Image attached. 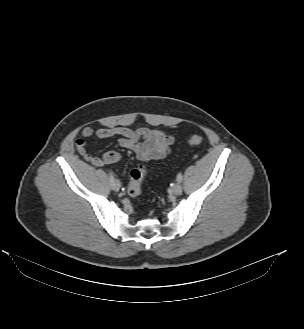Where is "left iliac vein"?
<instances>
[{
    "label": "left iliac vein",
    "instance_id": "1",
    "mask_svg": "<svg viewBox=\"0 0 304 329\" xmlns=\"http://www.w3.org/2000/svg\"><path fill=\"white\" fill-rule=\"evenodd\" d=\"M172 192L175 195H180L182 193V186L179 182L172 187Z\"/></svg>",
    "mask_w": 304,
    "mask_h": 329
}]
</instances>
